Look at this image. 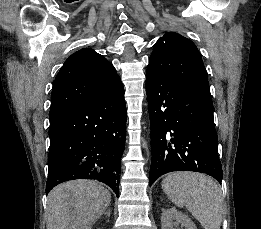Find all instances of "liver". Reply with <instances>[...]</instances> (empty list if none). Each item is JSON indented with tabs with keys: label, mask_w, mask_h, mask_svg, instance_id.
<instances>
[{
	"label": "liver",
	"mask_w": 261,
	"mask_h": 229,
	"mask_svg": "<svg viewBox=\"0 0 261 229\" xmlns=\"http://www.w3.org/2000/svg\"><path fill=\"white\" fill-rule=\"evenodd\" d=\"M111 195L97 181L57 185L47 197L46 229H91L109 207Z\"/></svg>",
	"instance_id": "obj_1"
}]
</instances>
